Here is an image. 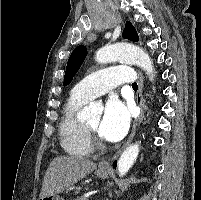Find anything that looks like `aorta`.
<instances>
[{"instance_id": "aorta-1", "label": "aorta", "mask_w": 201, "mask_h": 200, "mask_svg": "<svg viewBox=\"0 0 201 200\" xmlns=\"http://www.w3.org/2000/svg\"><path fill=\"white\" fill-rule=\"evenodd\" d=\"M95 59L99 63H110L114 61H123L141 67L148 76L154 77V67L149 55L141 48L127 44L118 43L111 46H105L96 52ZM93 106L85 108V114L92 115ZM139 153V144L135 143L125 149L119 158L117 170L120 176L125 175L132 167Z\"/></svg>"}]
</instances>
